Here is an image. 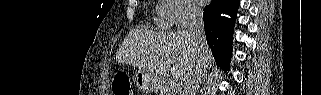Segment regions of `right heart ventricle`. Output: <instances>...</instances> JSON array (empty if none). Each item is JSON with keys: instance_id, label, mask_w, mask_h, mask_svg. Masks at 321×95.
I'll return each mask as SVG.
<instances>
[{"instance_id": "right-heart-ventricle-1", "label": "right heart ventricle", "mask_w": 321, "mask_h": 95, "mask_svg": "<svg viewBox=\"0 0 321 95\" xmlns=\"http://www.w3.org/2000/svg\"><path fill=\"white\" fill-rule=\"evenodd\" d=\"M153 21L154 24L159 28V29H169L172 24L171 22L163 15L161 7H156L155 8V13L153 15Z\"/></svg>"}]
</instances>
